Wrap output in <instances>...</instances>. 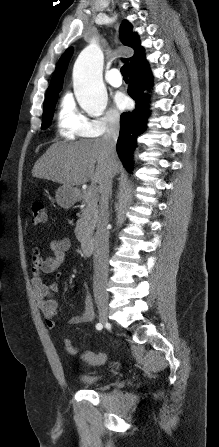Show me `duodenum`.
Listing matches in <instances>:
<instances>
[{
    "mask_svg": "<svg viewBox=\"0 0 219 447\" xmlns=\"http://www.w3.org/2000/svg\"><path fill=\"white\" fill-rule=\"evenodd\" d=\"M92 240L90 239H83L81 241V250L84 254H89L92 249Z\"/></svg>",
    "mask_w": 219,
    "mask_h": 447,
    "instance_id": "duodenum-1",
    "label": "duodenum"
}]
</instances>
